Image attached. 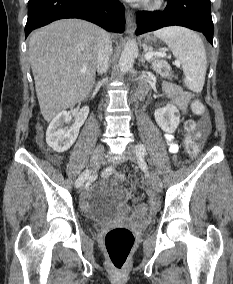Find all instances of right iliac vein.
<instances>
[{
    "mask_svg": "<svg viewBox=\"0 0 233 284\" xmlns=\"http://www.w3.org/2000/svg\"><path fill=\"white\" fill-rule=\"evenodd\" d=\"M103 152H104L103 145L102 144H98L96 146L92 156H91V159H90V168H91L92 172H95L98 169L100 160H101L102 155H103ZM84 181L88 182L89 178L85 177ZM86 187H87L86 183H80L79 187H77V189L75 190V193L76 194H81L82 192H84V188H86Z\"/></svg>",
    "mask_w": 233,
    "mask_h": 284,
    "instance_id": "63e3f726",
    "label": "right iliac vein"
}]
</instances>
